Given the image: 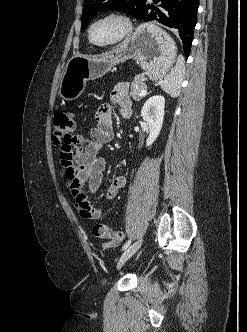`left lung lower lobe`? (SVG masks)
<instances>
[{
  "label": "left lung lower lobe",
  "mask_w": 247,
  "mask_h": 332,
  "mask_svg": "<svg viewBox=\"0 0 247 332\" xmlns=\"http://www.w3.org/2000/svg\"><path fill=\"white\" fill-rule=\"evenodd\" d=\"M153 2L157 5L146 3L139 19L156 20L172 28L182 40L185 55L188 57L197 23L198 0H153Z\"/></svg>",
  "instance_id": "obj_1"
}]
</instances>
